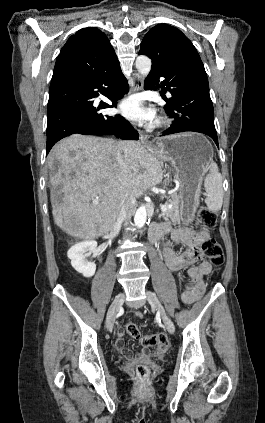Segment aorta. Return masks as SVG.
<instances>
[{
    "mask_svg": "<svg viewBox=\"0 0 265 423\" xmlns=\"http://www.w3.org/2000/svg\"><path fill=\"white\" fill-rule=\"evenodd\" d=\"M136 68L138 72L146 77L151 70V59L145 55H139L136 58ZM147 220V210L144 205H141L135 212L134 223L138 228H142Z\"/></svg>",
    "mask_w": 265,
    "mask_h": 423,
    "instance_id": "762f6f07",
    "label": "aorta"
}]
</instances>
